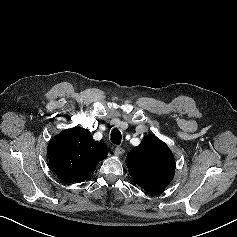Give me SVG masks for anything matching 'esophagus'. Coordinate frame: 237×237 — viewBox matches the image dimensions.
<instances>
[{"instance_id":"34e87169","label":"esophagus","mask_w":237,"mask_h":237,"mask_svg":"<svg viewBox=\"0 0 237 237\" xmlns=\"http://www.w3.org/2000/svg\"><path fill=\"white\" fill-rule=\"evenodd\" d=\"M124 152H125V150L120 146H117L114 150V153L116 156H121L124 154Z\"/></svg>"}]
</instances>
